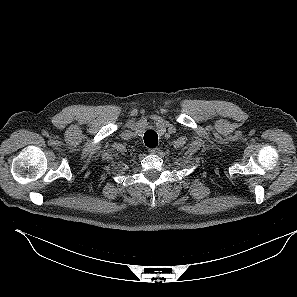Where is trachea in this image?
Listing matches in <instances>:
<instances>
[{"label":"trachea","instance_id":"3493384b","mask_svg":"<svg viewBox=\"0 0 297 297\" xmlns=\"http://www.w3.org/2000/svg\"><path fill=\"white\" fill-rule=\"evenodd\" d=\"M144 142L147 147L154 148L158 145V135L154 130H148L144 134Z\"/></svg>","mask_w":297,"mask_h":297}]
</instances>
